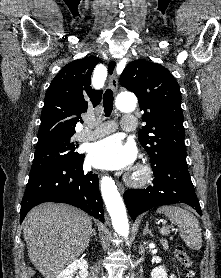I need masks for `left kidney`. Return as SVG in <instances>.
I'll return each mask as SVG.
<instances>
[{
    "mask_svg": "<svg viewBox=\"0 0 221 278\" xmlns=\"http://www.w3.org/2000/svg\"><path fill=\"white\" fill-rule=\"evenodd\" d=\"M151 278H168L165 267L159 266L153 269L151 272Z\"/></svg>",
    "mask_w": 221,
    "mask_h": 278,
    "instance_id": "5707ae66",
    "label": "left kidney"
}]
</instances>
